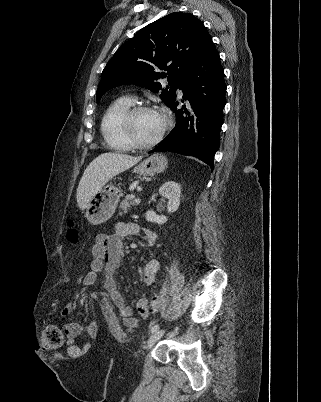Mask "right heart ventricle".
<instances>
[{
  "label": "right heart ventricle",
  "mask_w": 321,
  "mask_h": 402,
  "mask_svg": "<svg viewBox=\"0 0 321 402\" xmlns=\"http://www.w3.org/2000/svg\"><path fill=\"white\" fill-rule=\"evenodd\" d=\"M132 101L127 98H118L105 110L100 124L102 137L106 146L114 151L127 152L132 147L125 140L121 131V118L132 107Z\"/></svg>",
  "instance_id": "obj_1"
}]
</instances>
